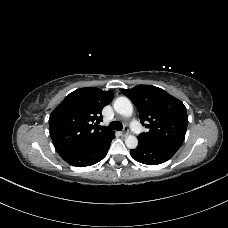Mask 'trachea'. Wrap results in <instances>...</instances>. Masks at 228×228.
I'll list each match as a JSON object with an SVG mask.
<instances>
[{
	"label": "trachea",
	"mask_w": 228,
	"mask_h": 228,
	"mask_svg": "<svg viewBox=\"0 0 228 228\" xmlns=\"http://www.w3.org/2000/svg\"><path fill=\"white\" fill-rule=\"evenodd\" d=\"M123 126L120 122H115V121H112L108 127H102L100 126L99 129L101 130H122Z\"/></svg>",
	"instance_id": "3493384b"
}]
</instances>
